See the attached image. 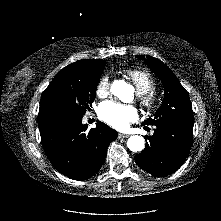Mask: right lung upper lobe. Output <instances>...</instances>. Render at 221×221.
Listing matches in <instances>:
<instances>
[{"mask_svg": "<svg viewBox=\"0 0 221 221\" xmlns=\"http://www.w3.org/2000/svg\"><path fill=\"white\" fill-rule=\"evenodd\" d=\"M72 64L85 67L89 70L99 71V70L104 69V67L106 65V61L105 60L87 59L85 61H77V62H74ZM55 121L56 120L44 118L40 114H38V126H39V128L43 127L45 125H48L50 123H53Z\"/></svg>", "mask_w": 221, "mask_h": 221, "instance_id": "obj_1", "label": "right lung upper lobe"}]
</instances>
